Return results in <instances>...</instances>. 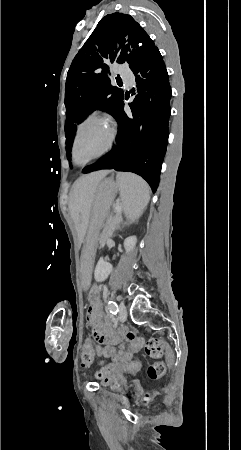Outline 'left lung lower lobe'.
<instances>
[{"label":"left lung lower lobe","instance_id":"0a47b994","mask_svg":"<svg viewBox=\"0 0 241 450\" xmlns=\"http://www.w3.org/2000/svg\"><path fill=\"white\" fill-rule=\"evenodd\" d=\"M136 75L138 95L130 104L133 118L124 112V102L117 108L116 143L112 150L82 173L101 169L128 171L142 176L156 191L168 143L171 114L169 76L158 48L130 65Z\"/></svg>","mask_w":241,"mask_h":450}]
</instances>
